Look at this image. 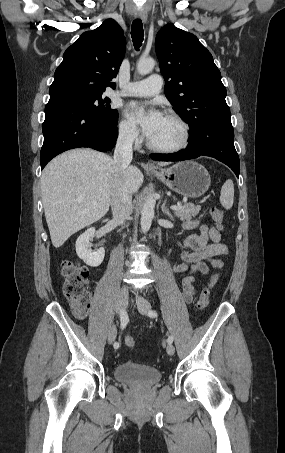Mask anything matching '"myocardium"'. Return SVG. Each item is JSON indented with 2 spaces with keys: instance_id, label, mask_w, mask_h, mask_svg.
Listing matches in <instances>:
<instances>
[{
  "instance_id": "f54148a6",
  "label": "myocardium",
  "mask_w": 285,
  "mask_h": 453,
  "mask_svg": "<svg viewBox=\"0 0 285 453\" xmlns=\"http://www.w3.org/2000/svg\"><path fill=\"white\" fill-rule=\"evenodd\" d=\"M165 116L176 121L180 125V127L182 128V132H183L182 141L176 146L164 147V146L155 145L148 138L147 139L148 148L151 149L152 151L159 152V153H166V154L178 153V152L185 150L190 145V142H191L190 125L187 123V121L183 117H181L179 114H177L173 111L166 112Z\"/></svg>"
}]
</instances>
